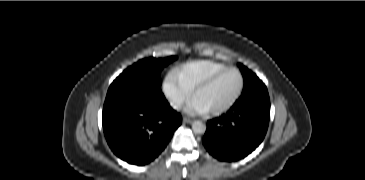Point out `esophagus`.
<instances>
[{
  "instance_id": "34e87169",
  "label": "esophagus",
  "mask_w": 365,
  "mask_h": 180,
  "mask_svg": "<svg viewBox=\"0 0 365 180\" xmlns=\"http://www.w3.org/2000/svg\"><path fill=\"white\" fill-rule=\"evenodd\" d=\"M183 122L186 124H191L193 122V119L189 117H183Z\"/></svg>"
}]
</instances>
